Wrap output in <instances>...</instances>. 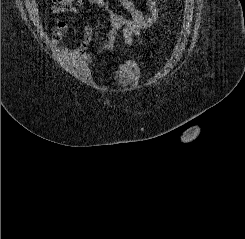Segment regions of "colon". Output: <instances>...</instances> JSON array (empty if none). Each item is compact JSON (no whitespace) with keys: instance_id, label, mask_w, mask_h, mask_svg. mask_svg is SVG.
Returning a JSON list of instances; mask_svg holds the SVG:
<instances>
[{"instance_id":"obj_1","label":"colon","mask_w":245,"mask_h":239,"mask_svg":"<svg viewBox=\"0 0 245 239\" xmlns=\"http://www.w3.org/2000/svg\"><path fill=\"white\" fill-rule=\"evenodd\" d=\"M53 2H60V0H52Z\"/></svg>"}]
</instances>
